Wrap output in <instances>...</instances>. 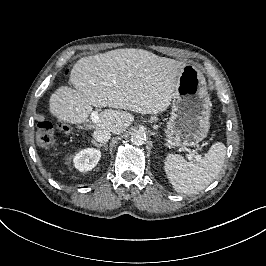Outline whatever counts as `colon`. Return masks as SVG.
<instances>
[{
	"mask_svg": "<svg viewBox=\"0 0 266 266\" xmlns=\"http://www.w3.org/2000/svg\"><path fill=\"white\" fill-rule=\"evenodd\" d=\"M64 75H68V70L64 72ZM37 138L43 146H51L55 139V130L52 123L49 120H43L38 122L36 126Z\"/></svg>",
	"mask_w": 266,
	"mask_h": 266,
	"instance_id": "5ec220e1",
	"label": "colon"
}]
</instances>
